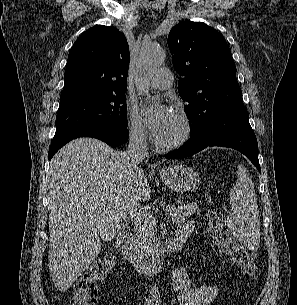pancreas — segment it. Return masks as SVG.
Segmentation results:
<instances>
[{
  "instance_id": "pancreas-1",
  "label": "pancreas",
  "mask_w": 297,
  "mask_h": 305,
  "mask_svg": "<svg viewBox=\"0 0 297 305\" xmlns=\"http://www.w3.org/2000/svg\"><path fill=\"white\" fill-rule=\"evenodd\" d=\"M193 214L200 216V209L197 203L192 202L178 207L171 206L170 215L175 224L184 223ZM134 242L137 250L145 256L154 254L160 243L156 236V223L150 214L141 216L134 221Z\"/></svg>"
}]
</instances>
